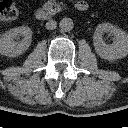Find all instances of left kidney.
I'll use <instances>...</instances> for the list:
<instances>
[{"label":"left kidney","instance_id":"obj_1","mask_svg":"<svg viewBox=\"0 0 128 128\" xmlns=\"http://www.w3.org/2000/svg\"><path fill=\"white\" fill-rule=\"evenodd\" d=\"M104 33H110L113 36L112 44L104 42ZM93 41L96 53L102 59L112 61L123 58L128 54V34L115 25L99 24L95 30Z\"/></svg>","mask_w":128,"mask_h":128}]
</instances>
